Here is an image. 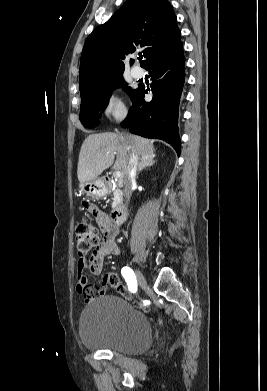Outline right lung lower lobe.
Listing matches in <instances>:
<instances>
[{
	"instance_id": "98d812e1",
	"label": "right lung lower lobe",
	"mask_w": 267,
	"mask_h": 391,
	"mask_svg": "<svg viewBox=\"0 0 267 391\" xmlns=\"http://www.w3.org/2000/svg\"><path fill=\"white\" fill-rule=\"evenodd\" d=\"M151 76V90L140 84L133 95V105L122 123L132 133L168 142L180 154L178 112L185 81L183 44L157 56L145 67ZM152 91L151 102L144 100Z\"/></svg>"
}]
</instances>
